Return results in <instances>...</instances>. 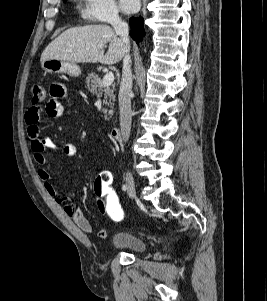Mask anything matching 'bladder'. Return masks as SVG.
<instances>
[{
	"instance_id": "1",
	"label": "bladder",
	"mask_w": 267,
	"mask_h": 301,
	"mask_svg": "<svg viewBox=\"0 0 267 301\" xmlns=\"http://www.w3.org/2000/svg\"><path fill=\"white\" fill-rule=\"evenodd\" d=\"M111 244L114 249L128 250L134 253H144L148 249V244L144 239L129 232L114 234Z\"/></svg>"
}]
</instances>
